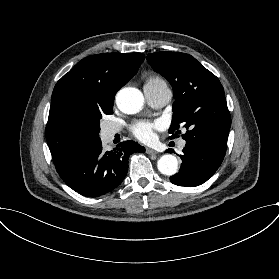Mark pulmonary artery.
Returning a JSON list of instances; mask_svg holds the SVG:
<instances>
[{
    "label": "pulmonary artery",
    "instance_id": "e3ab8cb5",
    "mask_svg": "<svg viewBox=\"0 0 279 279\" xmlns=\"http://www.w3.org/2000/svg\"><path fill=\"white\" fill-rule=\"evenodd\" d=\"M144 95L147 102L155 108H159L170 101L172 92L165 80H160L155 83H146L143 87ZM121 131V127L116 124H107L104 132L107 136H114ZM181 143L180 147H184Z\"/></svg>",
    "mask_w": 279,
    "mask_h": 279
}]
</instances>
